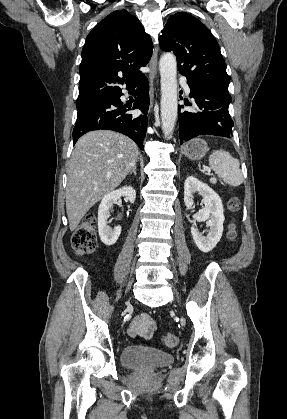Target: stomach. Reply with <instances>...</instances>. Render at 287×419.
<instances>
[{"label": "stomach", "instance_id": "obj_1", "mask_svg": "<svg viewBox=\"0 0 287 419\" xmlns=\"http://www.w3.org/2000/svg\"><path fill=\"white\" fill-rule=\"evenodd\" d=\"M207 151V143L201 138H194L183 146L184 155L191 160H199L203 158Z\"/></svg>", "mask_w": 287, "mask_h": 419}]
</instances>
